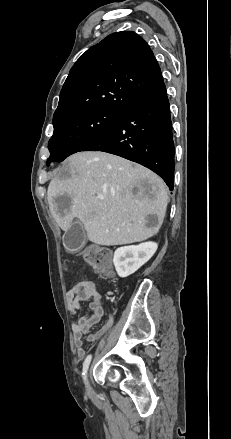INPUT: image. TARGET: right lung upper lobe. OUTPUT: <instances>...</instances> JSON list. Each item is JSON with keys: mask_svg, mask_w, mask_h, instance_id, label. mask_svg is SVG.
Returning <instances> with one entry per match:
<instances>
[{"mask_svg": "<svg viewBox=\"0 0 231 439\" xmlns=\"http://www.w3.org/2000/svg\"><path fill=\"white\" fill-rule=\"evenodd\" d=\"M164 88L160 67L146 41L133 31L116 32L76 61L53 119L97 108L123 113Z\"/></svg>", "mask_w": 231, "mask_h": 439, "instance_id": "cb5924a9", "label": "right lung upper lobe"}]
</instances>
